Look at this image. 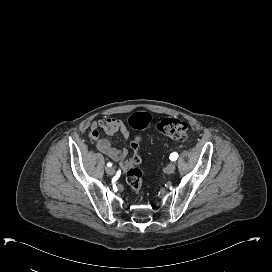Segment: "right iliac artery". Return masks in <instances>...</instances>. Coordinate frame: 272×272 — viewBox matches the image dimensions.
Returning a JSON list of instances; mask_svg holds the SVG:
<instances>
[{"instance_id": "obj_1", "label": "right iliac artery", "mask_w": 272, "mask_h": 272, "mask_svg": "<svg viewBox=\"0 0 272 272\" xmlns=\"http://www.w3.org/2000/svg\"><path fill=\"white\" fill-rule=\"evenodd\" d=\"M107 166H108V167L112 166V163H107Z\"/></svg>"}]
</instances>
